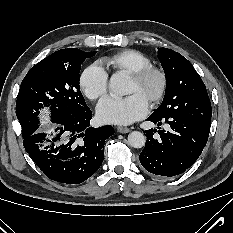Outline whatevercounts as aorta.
I'll return each instance as SVG.
<instances>
[{
	"instance_id": "aorta-1",
	"label": "aorta",
	"mask_w": 233,
	"mask_h": 233,
	"mask_svg": "<svg viewBox=\"0 0 233 233\" xmlns=\"http://www.w3.org/2000/svg\"><path fill=\"white\" fill-rule=\"evenodd\" d=\"M129 78L122 72L114 73L109 81V88L113 95L123 96L128 93ZM146 138L143 133L133 131L128 135V142L134 148H142Z\"/></svg>"
}]
</instances>
